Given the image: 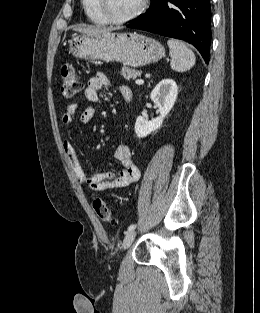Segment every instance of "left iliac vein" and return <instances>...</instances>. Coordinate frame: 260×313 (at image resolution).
<instances>
[{"mask_svg":"<svg viewBox=\"0 0 260 313\" xmlns=\"http://www.w3.org/2000/svg\"><path fill=\"white\" fill-rule=\"evenodd\" d=\"M135 236H136V232H135L134 229H133V230H130V231H128V232L126 233V235H125V237H124V240H123V249H124V250H125V249H128V248L131 246V244H132V242H133Z\"/></svg>","mask_w":260,"mask_h":313,"instance_id":"1","label":"left iliac vein"}]
</instances>
